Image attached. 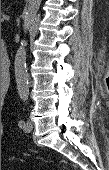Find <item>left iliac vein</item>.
Here are the masks:
<instances>
[{
  "instance_id": "4c4485c4",
  "label": "left iliac vein",
  "mask_w": 109,
  "mask_h": 170,
  "mask_svg": "<svg viewBox=\"0 0 109 170\" xmlns=\"http://www.w3.org/2000/svg\"><path fill=\"white\" fill-rule=\"evenodd\" d=\"M32 129H33V124H32V122H31L30 120H27V121L25 122L24 126H23V130H24L25 132H31Z\"/></svg>"
}]
</instances>
